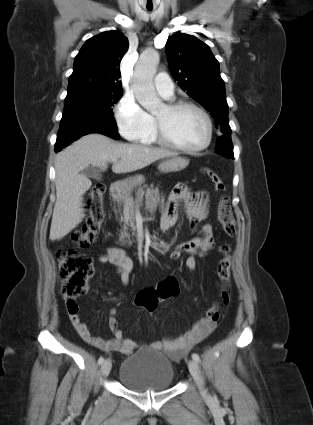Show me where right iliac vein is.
Returning a JSON list of instances; mask_svg holds the SVG:
<instances>
[{"label": "right iliac vein", "mask_w": 313, "mask_h": 425, "mask_svg": "<svg viewBox=\"0 0 313 425\" xmlns=\"http://www.w3.org/2000/svg\"><path fill=\"white\" fill-rule=\"evenodd\" d=\"M112 363L110 359H106L101 366V373L103 376H108L111 371Z\"/></svg>", "instance_id": "obj_1"}]
</instances>
